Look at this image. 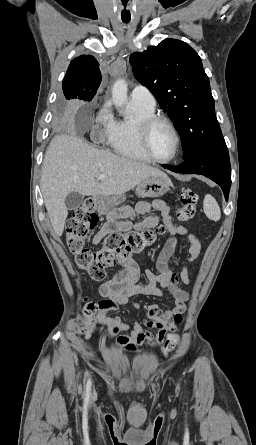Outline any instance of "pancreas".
Masks as SVG:
<instances>
[{"label": "pancreas", "mask_w": 256, "mask_h": 445, "mask_svg": "<svg viewBox=\"0 0 256 445\" xmlns=\"http://www.w3.org/2000/svg\"><path fill=\"white\" fill-rule=\"evenodd\" d=\"M139 206L141 207L140 213H149L151 210V205L148 202H140Z\"/></svg>", "instance_id": "1"}]
</instances>
